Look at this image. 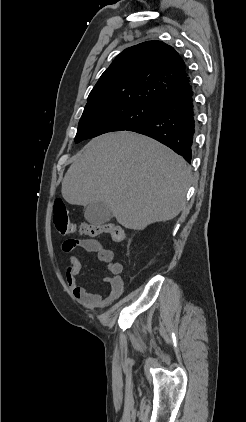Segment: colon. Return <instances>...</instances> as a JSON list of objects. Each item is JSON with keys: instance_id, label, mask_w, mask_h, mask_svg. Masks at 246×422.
<instances>
[{"instance_id": "colon-1", "label": "colon", "mask_w": 246, "mask_h": 422, "mask_svg": "<svg viewBox=\"0 0 246 422\" xmlns=\"http://www.w3.org/2000/svg\"><path fill=\"white\" fill-rule=\"evenodd\" d=\"M53 211L54 225L61 234H68L75 231L90 237L107 234L116 243L122 242L125 239L124 229L117 224L73 223L62 200H56L54 202Z\"/></svg>"}]
</instances>
